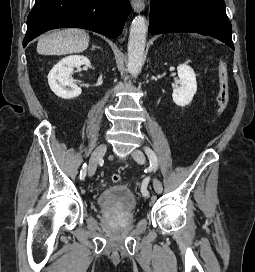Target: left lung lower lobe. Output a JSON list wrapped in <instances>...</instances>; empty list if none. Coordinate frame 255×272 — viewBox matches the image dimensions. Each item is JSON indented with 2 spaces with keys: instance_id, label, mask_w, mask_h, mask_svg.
<instances>
[{
  "instance_id": "left-lung-lower-lobe-1",
  "label": "left lung lower lobe",
  "mask_w": 255,
  "mask_h": 272,
  "mask_svg": "<svg viewBox=\"0 0 255 272\" xmlns=\"http://www.w3.org/2000/svg\"><path fill=\"white\" fill-rule=\"evenodd\" d=\"M152 34L195 32L214 37L234 50L224 0H152Z\"/></svg>"
}]
</instances>
